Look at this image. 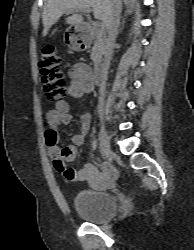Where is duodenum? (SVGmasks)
<instances>
[{
	"label": "duodenum",
	"instance_id": "410a0bca",
	"mask_svg": "<svg viewBox=\"0 0 194 250\" xmlns=\"http://www.w3.org/2000/svg\"><path fill=\"white\" fill-rule=\"evenodd\" d=\"M86 26H89V24L87 23ZM101 72H102L101 65L100 64L94 65L91 73V79L93 84H98L100 82Z\"/></svg>",
	"mask_w": 194,
	"mask_h": 250
}]
</instances>
